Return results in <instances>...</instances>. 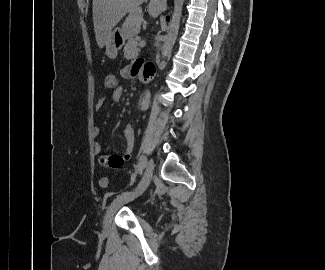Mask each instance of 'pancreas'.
<instances>
[{"instance_id": "obj_1", "label": "pancreas", "mask_w": 325, "mask_h": 270, "mask_svg": "<svg viewBox=\"0 0 325 270\" xmlns=\"http://www.w3.org/2000/svg\"><path fill=\"white\" fill-rule=\"evenodd\" d=\"M137 38H130L124 47V57L128 60L134 59L138 56L140 51Z\"/></svg>"}]
</instances>
